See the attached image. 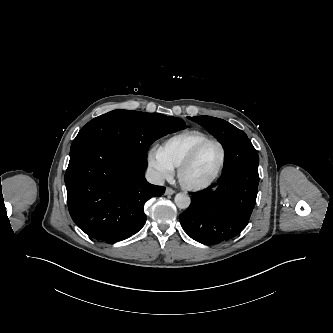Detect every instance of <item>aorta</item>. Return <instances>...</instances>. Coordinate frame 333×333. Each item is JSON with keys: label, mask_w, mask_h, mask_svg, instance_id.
I'll return each instance as SVG.
<instances>
[{"label": "aorta", "mask_w": 333, "mask_h": 333, "mask_svg": "<svg viewBox=\"0 0 333 333\" xmlns=\"http://www.w3.org/2000/svg\"><path fill=\"white\" fill-rule=\"evenodd\" d=\"M174 201H175V204L177 205V207L180 209L188 208L191 203L190 197L184 193L176 194Z\"/></svg>", "instance_id": "762f6f07"}]
</instances>
